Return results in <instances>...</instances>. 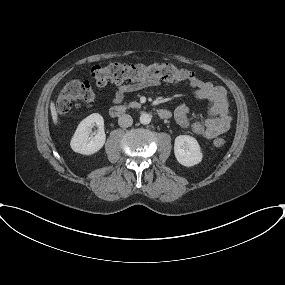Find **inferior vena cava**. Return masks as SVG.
<instances>
[{
  "label": "inferior vena cava",
  "mask_w": 285,
  "mask_h": 285,
  "mask_svg": "<svg viewBox=\"0 0 285 285\" xmlns=\"http://www.w3.org/2000/svg\"><path fill=\"white\" fill-rule=\"evenodd\" d=\"M132 123H133V119L128 114H123L118 119V124L122 128H127V127L131 126Z\"/></svg>",
  "instance_id": "inferior-vena-cava-1"
}]
</instances>
